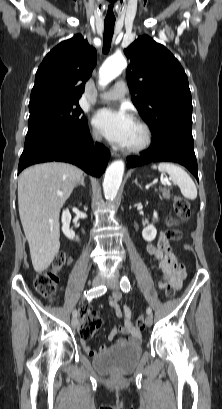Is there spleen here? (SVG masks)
I'll return each mask as SVG.
<instances>
[{
	"label": "spleen",
	"instance_id": "3e777b00",
	"mask_svg": "<svg viewBox=\"0 0 222 409\" xmlns=\"http://www.w3.org/2000/svg\"><path fill=\"white\" fill-rule=\"evenodd\" d=\"M153 169H158L160 172H167L174 184L180 188L182 195L190 200L197 198V188L191 177L180 166L169 162H162L158 165H153Z\"/></svg>",
	"mask_w": 222,
	"mask_h": 409
}]
</instances>
